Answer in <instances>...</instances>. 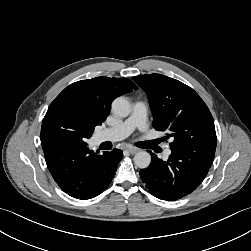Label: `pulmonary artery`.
Here are the masks:
<instances>
[{"label": "pulmonary artery", "instance_id": "e3ab8cb5", "mask_svg": "<svg viewBox=\"0 0 251 251\" xmlns=\"http://www.w3.org/2000/svg\"><path fill=\"white\" fill-rule=\"evenodd\" d=\"M135 129L145 132L147 125V106L142 101H136L132 107V112L128 118L116 126L102 130L97 135L98 142L119 141L129 136ZM166 156L171 154V150L166 148Z\"/></svg>", "mask_w": 251, "mask_h": 251}]
</instances>
